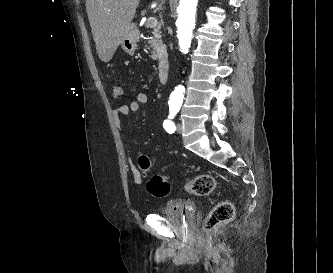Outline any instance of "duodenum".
Wrapping results in <instances>:
<instances>
[{"instance_id":"410a0bca","label":"duodenum","mask_w":333,"mask_h":273,"mask_svg":"<svg viewBox=\"0 0 333 273\" xmlns=\"http://www.w3.org/2000/svg\"><path fill=\"white\" fill-rule=\"evenodd\" d=\"M134 31L137 30L136 27L132 28ZM169 70H170V62L168 58L161 57L158 63V76L160 83L164 84L168 80L169 76Z\"/></svg>"}]
</instances>
